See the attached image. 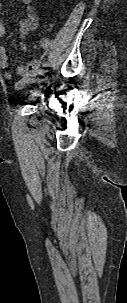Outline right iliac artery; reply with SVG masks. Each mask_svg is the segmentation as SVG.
Segmentation results:
<instances>
[{
	"mask_svg": "<svg viewBox=\"0 0 127 303\" xmlns=\"http://www.w3.org/2000/svg\"><path fill=\"white\" fill-rule=\"evenodd\" d=\"M49 68V63H45L43 67L39 70V74H44Z\"/></svg>",
	"mask_w": 127,
	"mask_h": 303,
	"instance_id": "1",
	"label": "right iliac artery"
}]
</instances>
